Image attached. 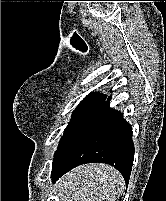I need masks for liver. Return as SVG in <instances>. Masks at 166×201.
<instances>
[{"mask_svg":"<svg viewBox=\"0 0 166 201\" xmlns=\"http://www.w3.org/2000/svg\"><path fill=\"white\" fill-rule=\"evenodd\" d=\"M58 201H116L124 189L122 175L107 164L81 165L55 184Z\"/></svg>","mask_w":166,"mask_h":201,"instance_id":"liver-1","label":"liver"}]
</instances>
